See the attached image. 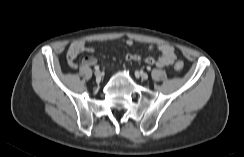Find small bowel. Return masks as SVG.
Listing matches in <instances>:
<instances>
[{"label": "small bowel", "instance_id": "c3829d8e", "mask_svg": "<svg viewBox=\"0 0 244 157\" xmlns=\"http://www.w3.org/2000/svg\"><path fill=\"white\" fill-rule=\"evenodd\" d=\"M123 43L127 46H131L133 45V40L127 38L123 40ZM150 49L152 50L153 47H150ZM157 49L160 52V56L157 58H154L152 56L146 57L145 61L147 64L156 66L158 68H162L171 65L175 61L176 56H175L174 48L171 45L160 44L157 46ZM84 51L91 53L94 51V49L87 47L85 40H76L71 44L70 48L67 51V62L70 67L72 68L77 67V64L75 63V58L77 57L78 54ZM125 57L128 61L138 62L141 60V57L139 55L133 53H127ZM96 62H97L96 58L92 55H87L82 60V63L88 66L94 65Z\"/></svg>", "mask_w": 244, "mask_h": 157}]
</instances>
